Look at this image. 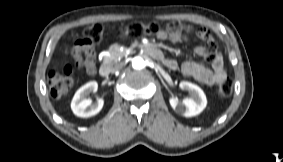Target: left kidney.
<instances>
[{
  "instance_id": "left-kidney-1",
  "label": "left kidney",
  "mask_w": 283,
  "mask_h": 162,
  "mask_svg": "<svg viewBox=\"0 0 283 162\" xmlns=\"http://www.w3.org/2000/svg\"><path fill=\"white\" fill-rule=\"evenodd\" d=\"M179 87L189 92V97L179 101L177 97L169 99L171 107L174 111L184 117H192L200 114L207 105L206 95L203 90L188 81H181Z\"/></svg>"
}]
</instances>
